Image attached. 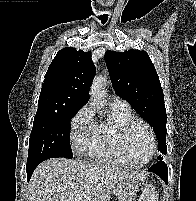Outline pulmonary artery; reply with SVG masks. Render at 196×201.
Segmentation results:
<instances>
[{
    "mask_svg": "<svg viewBox=\"0 0 196 201\" xmlns=\"http://www.w3.org/2000/svg\"><path fill=\"white\" fill-rule=\"evenodd\" d=\"M113 106L121 107V108H129L128 103L122 99H119V98H115L113 100Z\"/></svg>",
    "mask_w": 196,
    "mask_h": 201,
    "instance_id": "obj_1",
    "label": "pulmonary artery"
}]
</instances>
